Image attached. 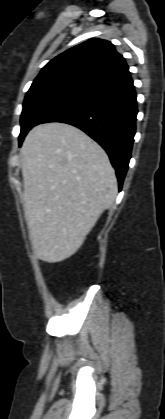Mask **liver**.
Segmentation results:
<instances>
[{
  "label": "liver",
  "mask_w": 165,
  "mask_h": 419,
  "mask_svg": "<svg viewBox=\"0 0 165 419\" xmlns=\"http://www.w3.org/2000/svg\"><path fill=\"white\" fill-rule=\"evenodd\" d=\"M24 212L34 255L56 263L82 246L117 194L106 152L65 123L35 126L20 150Z\"/></svg>",
  "instance_id": "obj_1"
}]
</instances>
